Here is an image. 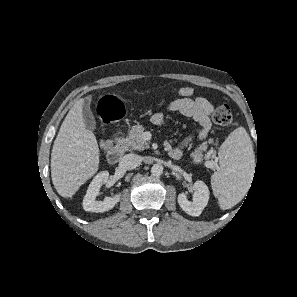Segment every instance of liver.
<instances>
[{
  "label": "liver",
  "mask_w": 297,
  "mask_h": 297,
  "mask_svg": "<svg viewBox=\"0 0 297 297\" xmlns=\"http://www.w3.org/2000/svg\"><path fill=\"white\" fill-rule=\"evenodd\" d=\"M84 99H79L66 115L51 153V176L55 189L64 198L72 197L99 167L95 135L83 119Z\"/></svg>",
  "instance_id": "liver-1"
}]
</instances>
